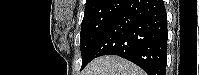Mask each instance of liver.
I'll return each instance as SVG.
<instances>
[{
  "label": "liver",
  "mask_w": 199,
  "mask_h": 75,
  "mask_svg": "<svg viewBox=\"0 0 199 75\" xmlns=\"http://www.w3.org/2000/svg\"><path fill=\"white\" fill-rule=\"evenodd\" d=\"M81 75H145V73L121 57L102 56L90 62Z\"/></svg>",
  "instance_id": "6515ba94"
}]
</instances>
